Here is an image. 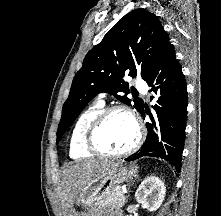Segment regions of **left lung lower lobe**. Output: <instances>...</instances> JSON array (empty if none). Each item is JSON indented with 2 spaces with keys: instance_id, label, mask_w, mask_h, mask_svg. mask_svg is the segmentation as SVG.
<instances>
[{
  "instance_id": "left-lung-lower-lobe-1",
  "label": "left lung lower lobe",
  "mask_w": 221,
  "mask_h": 216,
  "mask_svg": "<svg viewBox=\"0 0 221 216\" xmlns=\"http://www.w3.org/2000/svg\"><path fill=\"white\" fill-rule=\"evenodd\" d=\"M146 82L158 97L153 114L145 109L151 118V123H147V139L139 151L125 160L132 161L143 156L161 157L180 172L187 118V88L169 42L151 67ZM140 113L145 118L144 106Z\"/></svg>"
}]
</instances>
